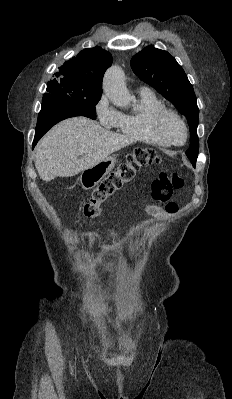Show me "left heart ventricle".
<instances>
[{"label": "left heart ventricle", "mask_w": 232, "mask_h": 399, "mask_svg": "<svg viewBox=\"0 0 232 399\" xmlns=\"http://www.w3.org/2000/svg\"><path fill=\"white\" fill-rule=\"evenodd\" d=\"M164 130L167 135L176 143L184 142L186 138V131L181 122L172 115H169L164 120Z\"/></svg>", "instance_id": "obj_1"}]
</instances>
